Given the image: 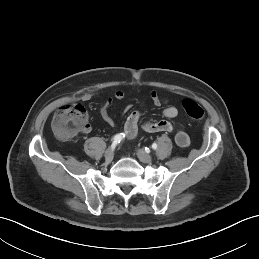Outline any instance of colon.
<instances>
[{
    "instance_id": "5ec220e1",
    "label": "colon",
    "mask_w": 259,
    "mask_h": 259,
    "mask_svg": "<svg viewBox=\"0 0 259 259\" xmlns=\"http://www.w3.org/2000/svg\"><path fill=\"white\" fill-rule=\"evenodd\" d=\"M182 108L192 122H200L204 116L203 109L192 99H185ZM88 111L82 104L68 103L56 113L52 126L61 138H69L88 125Z\"/></svg>"
}]
</instances>
